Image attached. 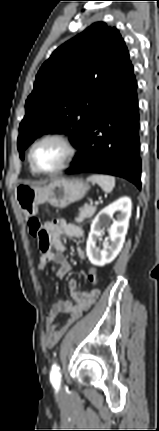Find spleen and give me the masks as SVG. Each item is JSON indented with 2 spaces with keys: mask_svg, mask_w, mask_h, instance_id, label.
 <instances>
[{
  "mask_svg": "<svg viewBox=\"0 0 159 431\" xmlns=\"http://www.w3.org/2000/svg\"><path fill=\"white\" fill-rule=\"evenodd\" d=\"M88 180L97 183L106 193L112 192L115 187V178L109 175H91Z\"/></svg>",
  "mask_w": 159,
  "mask_h": 431,
  "instance_id": "3e777b00",
  "label": "spleen"
}]
</instances>
